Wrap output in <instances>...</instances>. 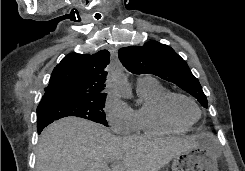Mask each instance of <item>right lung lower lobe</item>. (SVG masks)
<instances>
[{
	"mask_svg": "<svg viewBox=\"0 0 245 171\" xmlns=\"http://www.w3.org/2000/svg\"><path fill=\"white\" fill-rule=\"evenodd\" d=\"M54 120L52 119H48V118H39L37 120V130L38 133L40 134L41 131L43 130L44 127H46L47 125H49L50 123H52Z\"/></svg>",
	"mask_w": 245,
	"mask_h": 171,
	"instance_id": "98d812e1",
	"label": "right lung lower lobe"
}]
</instances>
